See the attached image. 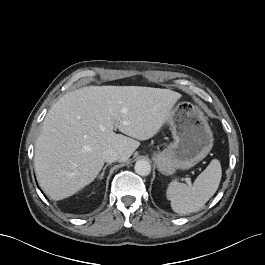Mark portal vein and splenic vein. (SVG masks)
Returning <instances> with one entry per match:
<instances>
[{
	"instance_id": "portal-vein-and-splenic-vein-1",
	"label": "portal vein and splenic vein",
	"mask_w": 265,
	"mask_h": 265,
	"mask_svg": "<svg viewBox=\"0 0 265 265\" xmlns=\"http://www.w3.org/2000/svg\"><path fill=\"white\" fill-rule=\"evenodd\" d=\"M187 183H188V185H191V183H190V181H189V180H187Z\"/></svg>"
}]
</instances>
